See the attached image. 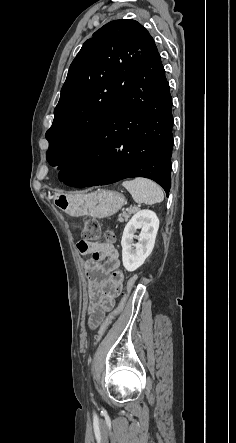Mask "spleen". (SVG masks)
Returning a JSON list of instances; mask_svg holds the SVG:
<instances>
[{
	"label": "spleen",
	"instance_id": "obj_1",
	"mask_svg": "<svg viewBox=\"0 0 236 443\" xmlns=\"http://www.w3.org/2000/svg\"><path fill=\"white\" fill-rule=\"evenodd\" d=\"M132 195L135 202L148 203L150 205L161 203L164 200L162 189L152 180L146 178H135L122 183Z\"/></svg>",
	"mask_w": 236,
	"mask_h": 443
}]
</instances>
